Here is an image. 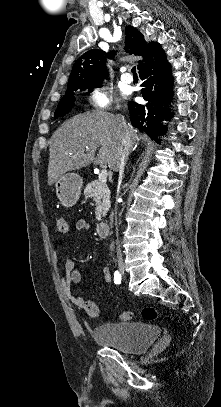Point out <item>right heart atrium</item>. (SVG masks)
Returning a JSON list of instances; mask_svg holds the SVG:
<instances>
[{"label": "right heart atrium", "mask_w": 221, "mask_h": 407, "mask_svg": "<svg viewBox=\"0 0 221 407\" xmlns=\"http://www.w3.org/2000/svg\"><path fill=\"white\" fill-rule=\"evenodd\" d=\"M88 103L97 111L109 110L114 106L113 94L107 87H92L88 92Z\"/></svg>", "instance_id": "1"}]
</instances>
